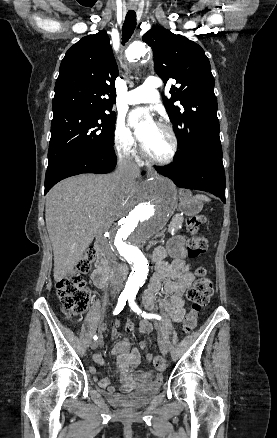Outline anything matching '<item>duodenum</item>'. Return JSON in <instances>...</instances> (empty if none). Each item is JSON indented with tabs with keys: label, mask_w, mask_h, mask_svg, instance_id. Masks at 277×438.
Masks as SVG:
<instances>
[{
	"label": "duodenum",
	"mask_w": 277,
	"mask_h": 438,
	"mask_svg": "<svg viewBox=\"0 0 277 438\" xmlns=\"http://www.w3.org/2000/svg\"><path fill=\"white\" fill-rule=\"evenodd\" d=\"M95 250L97 252V258L95 261V270L92 274V281L96 287L104 288L108 284L109 280V263L104 253V249L100 243H95ZM152 259L155 263H157L159 256L154 253Z\"/></svg>",
	"instance_id": "duodenum-1"
}]
</instances>
